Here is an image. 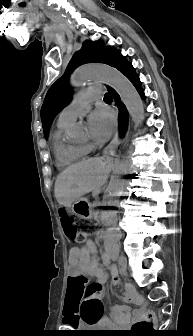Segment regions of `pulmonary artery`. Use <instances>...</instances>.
Listing matches in <instances>:
<instances>
[{
  "label": "pulmonary artery",
  "mask_w": 193,
  "mask_h": 336,
  "mask_svg": "<svg viewBox=\"0 0 193 336\" xmlns=\"http://www.w3.org/2000/svg\"><path fill=\"white\" fill-rule=\"evenodd\" d=\"M102 95V90L99 87H90L89 89L78 92L74 95L73 101L60 113L57 124L59 126L71 124L76 120L86 104L101 98Z\"/></svg>",
  "instance_id": "e3ab8cb5"
}]
</instances>
